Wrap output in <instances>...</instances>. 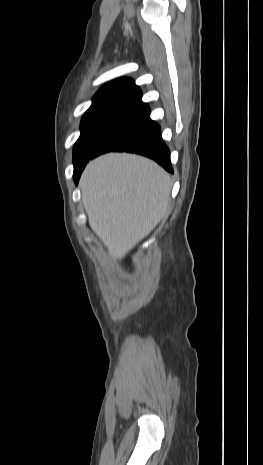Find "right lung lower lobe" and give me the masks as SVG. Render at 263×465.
Instances as JSON below:
<instances>
[{"label":"right lung lower lobe","instance_id":"1","mask_svg":"<svg viewBox=\"0 0 263 465\" xmlns=\"http://www.w3.org/2000/svg\"><path fill=\"white\" fill-rule=\"evenodd\" d=\"M111 151H126L147 156L167 171L173 172L170 152L161 138L160 126L150 119V109L142 101H139L105 136L91 159ZM85 165L74 169L73 177L76 184Z\"/></svg>","mask_w":263,"mask_h":465}]
</instances>
